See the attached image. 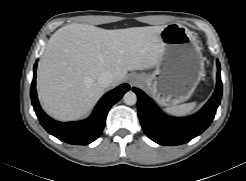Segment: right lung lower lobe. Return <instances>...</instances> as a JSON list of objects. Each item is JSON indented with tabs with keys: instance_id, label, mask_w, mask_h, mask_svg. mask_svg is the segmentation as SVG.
<instances>
[{
	"instance_id": "obj_1",
	"label": "right lung lower lobe",
	"mask_w": 246,
	"mask_h": 181,
	"mask_svg": "<svg viewBox=\"0 0 246 181\" xmlns=\"http://www.w3.org/2000/svg\"><path fill=\"white\" fill-rule=\"evenodd\" d=\"M36 65L33 70L31 100L41 125L53 136L63 142L75 145H87L96 140L106 123L109 109L126 93L130 86L122 84L106 93L98 102L92 115L80 122L60 123L47 116L41 109L36 95Z\"/></svg>"
}]
</instances>
